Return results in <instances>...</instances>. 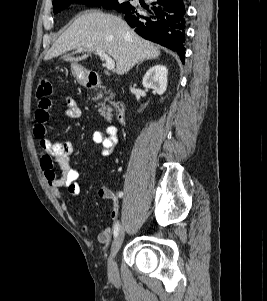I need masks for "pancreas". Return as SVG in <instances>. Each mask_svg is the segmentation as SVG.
<instances>
[{"label":"pancreas","mask_w":267,"mask_h":301,"mask_svg":"<svg viewBox=\"0 0 267 301\" xmlns=\"http://www.w3.org/2000/svg\"><path fill=\"white\" fill-rule=\"evenodd\" d=\"M109 94V92L107 93ZM103 96V93L100 91L97 95L98 98H101ZM114 99V94H109V96H106L104 98V102L99 103L98 105L101 106V108L99 109V112H101L102 115H104V117L109 121L110 117H111V108L109 106L106 105V101H111L112 105H115V101H113Z\"/></svg>","instance_id":"cf45deb5"}]
</instances>
